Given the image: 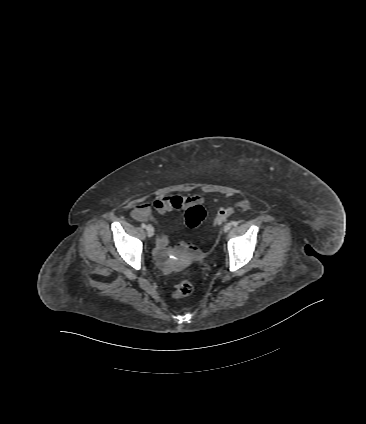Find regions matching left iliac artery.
Instances as JSON below:
<instances>
[{
	"mask_svg": "<svg viewBox=\"0 0 366 424\" xmlns=\"http://www.w3.org/2000/svg\"><path fill=\"white\" fill-rule=\"evenodd\" d=\"M232 225H233V226H237V225H238V222H237V221H233V222H232Z\"/></svg>",
	"mask_w": 366,
	"mask_h": 424,
	"instance_id": "44dca946",
	"label": "left iliac artery"
}]
</instances>
